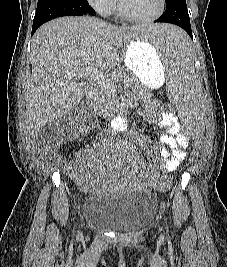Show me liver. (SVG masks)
Here are the masks:
<instances>
[{
  "instance_id": "obj_1",
  "label": "liver",
  "mask_w": 227,
  "mask_h": 267,
  "mask_svg": "<svg viewBox=\"0 0 227 267\" xmlns=\"http://www.w3.org/2000/svg\"><path fill=\"white\" fill-rule=\"evenodd\" d=\"M137 31L88 16L62 17L42 25L31 45L32 74L25 96L29 133L65 116L86 94V83L69 71L114 69L118 48L135 39L129 34Z\"/></svg>"
}]
</instances>
